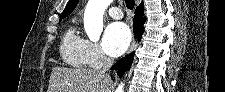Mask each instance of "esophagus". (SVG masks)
Wrapping results in <instances>:
<instances>
[{"mask_svg":"<svg viewBox=\"0 0 225 92\" xmlns=\"http://www.w3.org/2000/svg\"><path fill=\"white\" fill-rule=\"evenodd\" d=\"M134 47H135V44H134V42L132 43V45H131V47H130V52L134 49Z\"/></svg>","mask_w":225,"mask_h":92,"instance_id":"esophagus-1","label":"esophagus"}]
</instances>
